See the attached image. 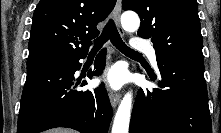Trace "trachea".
Returning <instances> with one entry per match:
<instances>
[{
	"label": "trachea",
	"mask_w": 221,
	"mask_h": 133,
	"mask_svg": "<svg viewBox=\"0 0 221 133\" xmlns=\"http://www.w3.org/2000/svg\"><path fill=\"white\" fill-rule=\"evenodd\" d=\"M109 39L112 44L122 53L131 56H142L140 53L134 51L123 42L113 23V20H109V22L106 24L101 36L95 40V45L92 48L91 52H97Z\"/></svg>",
	"instance_id": "trachea-1"
}]
</instances>
